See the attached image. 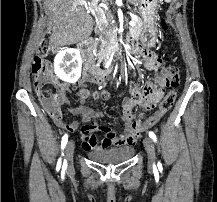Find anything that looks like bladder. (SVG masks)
<instances>
[{
	"label": "bladder",
	"instance_id": "31cf9c89",
	"mask_svg": "<svg viewBox=\"0 0 217 202\" xmlns=\"http://www.w3.org/2000/svg\"><path fill=\"white\" fill-rule=\"evenodd\" d=\"M133 153L134 148H106L97 152H89L88 156H90L95 161H101L105 164H114L127 160Z\"/></svg>",
	"mask_w": 217,
	"mask_h": 202
}]
</instances>
